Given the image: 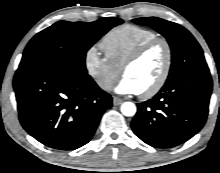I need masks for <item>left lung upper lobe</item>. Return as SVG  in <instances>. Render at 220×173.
Returning a JSON list of instances; mask_svg holds the SVG:
<instances>
[{"label":"left lung upper lobe","mask_w":220,"mask_h":173,"mask_svg":"<svg viewBox=\"0 0 220 173\" xmlns=\"http://www.w3.org/2000/svg\"><path fill=\"white\" fill-rule=\"evenodd\" d=\"M133 22L150 26L167 39L171 47L172 64L165 85L185 78L210 76L203 51L187 29L157 17L138 18Z\"/></svg>","instance_id":"obj_1"}]
</instances>
